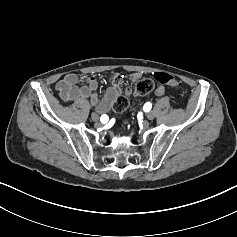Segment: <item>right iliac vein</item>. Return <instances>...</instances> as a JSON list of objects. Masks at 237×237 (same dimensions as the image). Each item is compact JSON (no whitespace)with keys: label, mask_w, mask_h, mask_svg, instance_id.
Here are the masks:
<instances>
[{"label":"right iliac vein","mask_w":237,"mask_h":237,"mask_svg":"<svg viewBox=\"0 0 237 237\" xmlns=\"http://www.w3.org/2000/svg\"><path fill=\"white\" fill-rule=\"evenodd\" d=\"M91 118H92L94 121H96V122L99 121V116H98L96 113H93V114L91 115ZM98 124H100V123L98 122Z\"/></svg>","instance_id":"63e3f726"}]
</instances>
